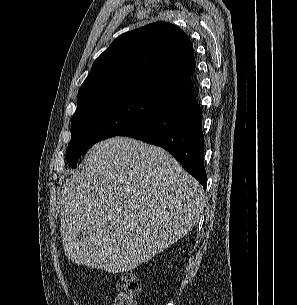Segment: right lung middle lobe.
<instances>
[{"instance_id":"dd1d6c3e","label":"right lung middle lobe","mask_w":297,"mask_h":305,"mask_svg":"<svg viewBox=\"0 0 297 305\" xmlns=\"http://www.w3.org/2000/svg\"><path fill=\"white\" fill-rule=\"evenodd\" d=\"M171 102L142 94L107 97L79 109L71 121V141L66 158L77 167L78 158L93 144L122 134L146 122Z\"/></svg>"}]
</instances>
